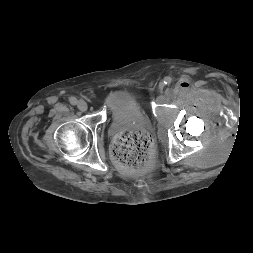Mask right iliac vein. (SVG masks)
I'll use <instances>...</instances> for the list:
<instances>
[{
  "instance_id": "63e3f726",
  "label": "right iliac vein",
  "mask_w": 253,
  "mask_h": 253,
  "mask_svg": "<svg viewBox=\"0 0 253 253\" xmlns=\"http://www.w3.org/2000/svg\"><path fill=\"white\" fill-rule=\"evenodd\" d=\"M77 106L80 111H86L88 108L87 103L84 100H80Z\"/></svg>"
}]
</instances>
